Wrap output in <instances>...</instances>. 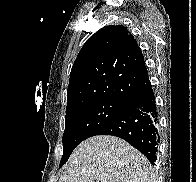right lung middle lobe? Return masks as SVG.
Segmentation results:
<instances>
[{"label":"right lung middle lobe","instance_id":"obj_1","mask_svg":"<svg viewBox=\"0 0 196 182\" xmlns=\"http://www.w3.org/2000/svg\"><path fill=\"white\" fill-rule=\"evenodd\" d=\"M130 107V103L114 99H98L66 111L65 131L63 134L62 167L74 148L110 120Z\"/></svg>","mask_w":196,"mask_h":182}]
</instances>
